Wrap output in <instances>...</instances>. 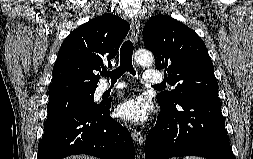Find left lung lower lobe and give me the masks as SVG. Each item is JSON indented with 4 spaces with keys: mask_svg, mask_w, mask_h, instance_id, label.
<instances>
[{
    "mask_svg": "<svg viewBox=\"0 0 253 159\" xmlns=\"http://www.w3.org/2000/svg\"><path fill=\"white\" fill-rule=\"evenodd\" d=\"M155 128L145 142V159H168L175 156H200L207 159H235L220 100L195 97L174 107L160 104Z\"/></svg>",
    "mask_w": 253,
    "mask_h": 159,
    "instance_id": "0a47b994",
    "label": "left lung lower lobe"
}]
</instances>
